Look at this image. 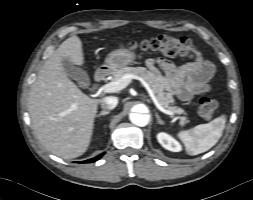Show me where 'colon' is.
Returning a JSON list of instances; mask_svg holds the SVG:
<instances>
[{"instance_id": "5ec220e1", "label": "colon", "mask_w": 253, "mask_h": 200, "mask_svg": "<svg viewBox=\"0 0 253 200\" xmlns=\"http://www.w3.org/2000/svg\"><path fill=\"white\" fill-rule=\"evenodd\" d=\"M142 50L161 53L165 56H183L187 58L195 57L196 46L186 37H173L160 35L149 39H144L137 43ZM218 104L215 100L207 96H202L199 104V115L203 119H211L217 111Z\"/></svg>"}]
</instances>
